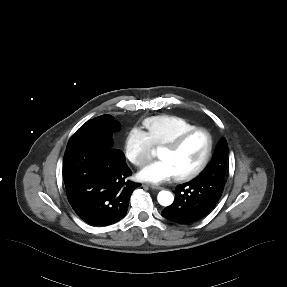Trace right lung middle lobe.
Masks as SVG:
<instances>
[{
	"label": "right lung middle lobe",
	"instance_id": "1",
	"mask_svg": "<svg viewBox=\"0 0 287 287\" xmlns=\"http://www.w3.org/2000/svg\"><path fill=\"white\" fill-rule=\"evenodd\" d=\"M119 128V123L114 122L111 115H102L87 121L70 138L68 145L82 142H97L113 148V132Z\"/></svg>",
	"mask_w": 287,
	"mask_h": 287
}]
</instances>
